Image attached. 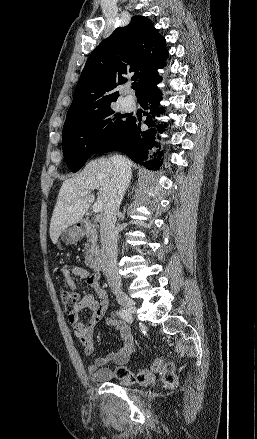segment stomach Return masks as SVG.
Returning <instances> with one entry per match:
<instances>
[{"instance_id":"stomach-1","label":"stomach","mask_w":257,"mask_h":439,"mask_svg":"<svg viewBox=\"0 0 257 439\" xmlns=\"http://www.w3.org/2000/svg\"><path fill=\"white\" fill-rule=\"evenodd\" d=\"M80 238V231L77 226L69 227L65 229L61 235L60 240L66 244H73ZM57 247L60 249V242H57Z\"/></svg>"}]
</instances>
